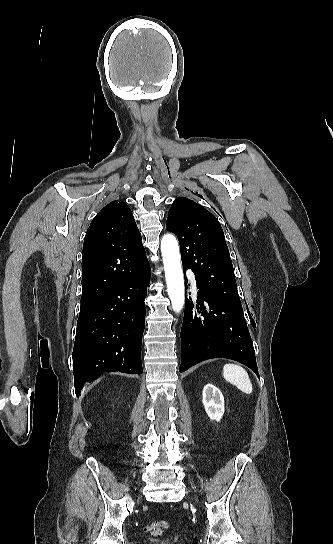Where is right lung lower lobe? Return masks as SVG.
<instances>
[{
    "label": "right lung lower lobe",
    "mask_w": 333,
    "mask_h": 544,
    "mask_svg": "<svg viewBox=\"0 0 333 544\" xmlns=\"http://www.w3.org/2000/svg\"><path fill=\"white\" fill-rule=\"evenodd\" d=\"M149 263L105 295L81 304L73 349L77 395L107 371L141 374Z\"/></svg>",
    "instance_id": "obj_1"
}]
</instances>
